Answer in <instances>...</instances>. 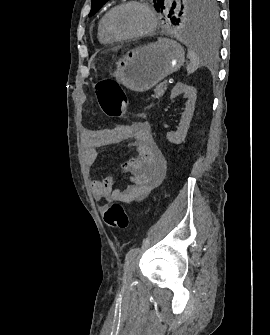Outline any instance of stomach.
<instances>
[{
	"instance_id": "1",
	"label": "stomach",
	"mask_w": 270,
	"mask_h": 335,
	"mask_svg": "<svg viewBox=\"0 0 270 335\" xmlns=\"http://www.w3.org/2000/svg\"><path fill=\"white\" fill-rule=\"evenodd\" d=\"M184 50L170 38H158L148 46H139L125 52L117 62L113 78L133 90L146 92L184 64Z\"/></svg>"
}]
</instances>
